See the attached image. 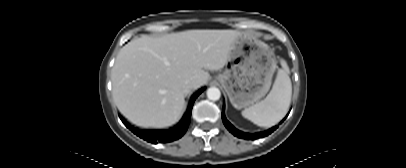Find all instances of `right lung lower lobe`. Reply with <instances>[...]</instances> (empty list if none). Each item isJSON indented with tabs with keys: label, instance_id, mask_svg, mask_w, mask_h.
Masks as SVG:
<instances>
[{
	"label": "right lung lower lobe",
	"instance_id": "98d812e1",
	"mask_svg": "<svg viewBox=\"0 0 406 168\" xmlns=\"http://www.w3.org/2000/svg\"><path fill=\"white\" fill-rule=\"evenodd\" d=\"M205 88L199 89L192 97L190 106L181 119V121L174 127L166 130H147V129H138L136 127L131 126L129 123H127L121 116L120 119L124 123V125L130 129L134 134L139 136L140 138L146 140L147 142L157 144L158 142L160 143H166V142H172L174 140H177L181 138L186 130L188 129L190 119H191V112H192V107L195 99L199 96L204 91Z\"/></svg>",
	"mask_w": 406,
	"mask_h": 168
}]
</instances>
